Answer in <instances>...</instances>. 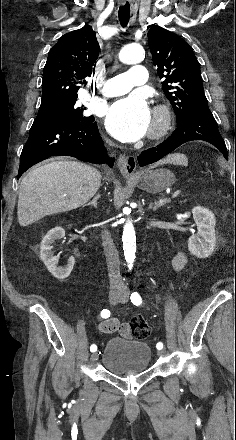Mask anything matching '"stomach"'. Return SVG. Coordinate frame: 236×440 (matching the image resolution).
I'll list each match as a JSON object with an SVG mask.
<instances>
[{
    "mask_svg": "<svg viewBox=\"0 0 236 440\" xmlns=\"http://www.w3.org/2000/svg\"><path fill=\"white\" fill-rule=\"evenodd\" d=\"M127 179L133 180L138 188L148 193L161 192L171 187L176 181L174 173L164 168L146 169Z\"/></svg>",
    "mask_w": 236,
    "mask_h": 440,
    "instance_id": "obj_1",
    "label": "stomach"
}]
</instances>
